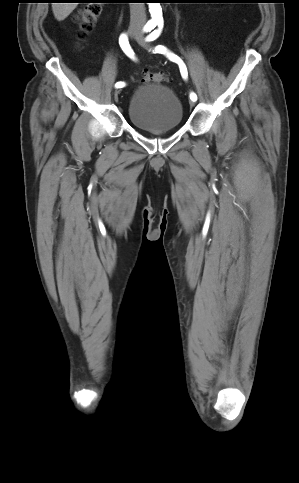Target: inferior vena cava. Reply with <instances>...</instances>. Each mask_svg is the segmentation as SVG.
<instances>
[{
	"label": "inferior vena cava",
	"mask_w": 299,
	"mask_h": 483,
	"mask_svg": "<svg viewBox=\"0 0 299 483\" xmlns=\"http://www.w3.org/2000/svg\"><path fill=\"white\" fill-rule=\"evenodd\" d=\"M146 23L144 3H130V27L142 30Z\"/></svg>",
	"instance_id": "1"
}]
</instances>
